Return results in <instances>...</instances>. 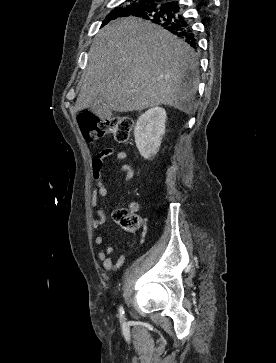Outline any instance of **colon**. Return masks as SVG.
I'll list each match as a JSON object with an SVG mask.
<instances>
[{
	"label": "colon",
	"instance_id": "1",
	"mask_svg": "<svg viewBox=\"0 0 276 363\" xmlns=\"http://www.w3.org/2000/svg\"><path fill=\"white\" fill-rule=\"evenodd\" d=\"M78 123L83 136L90 141L112 135L117 142L124 143L128 141L133 128V119L129 116L100 119L89 111H81L78 114ZM112 217L128 232H135L142 226L139 215L126 208H116L112 212Z\"/></svg>",
	"mask_w": 276,
	"mask_h": 363
}]
</instances>
